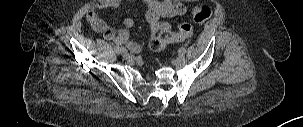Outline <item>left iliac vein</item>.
<instances>
[{"mask_svg": "<svg viewBox=\"0 0 303 127\" xmlns=\"http://www.w3.org/2000/svg\"><path fill=\"white\" fill-rule=\"evenodd\" d=\"M184 59H185L184 55L180 54L178 57V61L181 62L184 61Z\"/></svg>", "mask_w": 303, "mask_h": 127, "instance_id": "4c4485c4", "label": "left iliac vein"}]
</instances>
